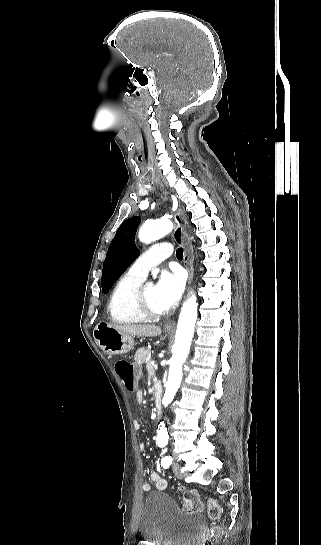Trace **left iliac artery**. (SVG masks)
Wrapping results in <instances>:
<instances>
[{
    "label": "left iliac artery",
    "mask_w": 321,
    "mask_h": 545,
    "mask_svg": "<svg viewBox=\"0 0 321 545\" xmlns=\"http://www.w3.org/2000/svg\"><path fill=\"white\" fill-rule=\"evenodd\" d=\"M171 463H172V457L171 456H166L161 461V465L164 468H168L171 465Z\"/></svg>",
    "instance_id": "1"
}]
</instances>
